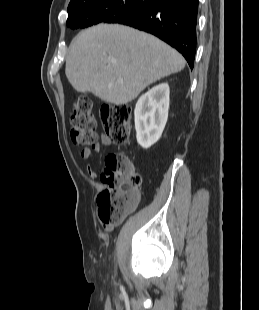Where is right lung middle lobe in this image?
Instances as JSON below:
<instances>
[{
    "instance_id": "dd1d6c3e",
    "label": "right lung middle lobe",
    "mask_w": 259,
    "mask_h": 310,
    "mask_svg": "<svg viewBox=\"0 0 259 310\" xmlns=\"http://www.w3.org/2000/svg\"><path fill=\"white\" fill-rule=\"evenodd\" d=\"M152 0H101L90 5L68 9L67 26L84 28L98 23H117L145 8Z\"/></svg>"
}]
</instances>
